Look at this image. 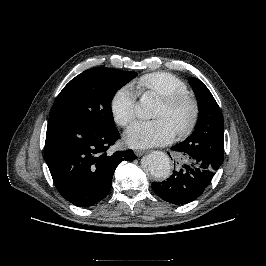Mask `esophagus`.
<instances>
[{"label": "esophagus", "mask_w": 266, "mask_h": 266, "mask_svg": "<svg viewBox=\"0 0 266 266\" xmlns=\"http://www.w3.org/2000/svg\"><path fill=\"white\" fill-rule=\"evenodd\" d=\"M145 153H146L145 150H135V154H136V156H138V157L144 155Z\"/></svg>", "instance_id": "obj_1"}]
</instances>
